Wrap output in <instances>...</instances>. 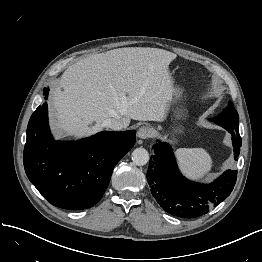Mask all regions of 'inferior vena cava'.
Wrapping results in <instances>:
<instances>
[{"instance_id":"602c4592","label":"inferior vena cava","mask_w":262,"mask_h":262,"mask_svg":"<svg viewBox=\"0 0 262 262\" xmlns=\"http://www.w3.org/2000/svg\"><path fill=\"white\" fill-rule=\"evenodd\" d=\"M105 127L110 128L115 131L122 130L127 127V123H125L120 118H110L105 120L104 122Z\"/></svg>"}]
</instances>
